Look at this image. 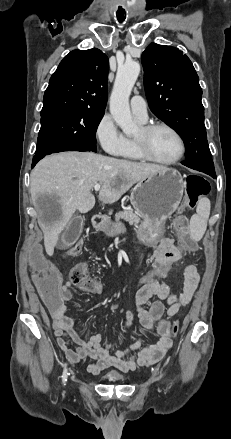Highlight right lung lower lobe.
Segmentation results:
<instances>
[{
    "label": "right lung lower lobe",
    "mask_w": 231,
    "mask_h": 439,
    "mask_svg": "<svg viewBox=\"0 0 231 439\" xmlns=\"http://www.w3.org/2000/svg\"><path fill=\"white\" fill-rule=\"evenodd\" d=\"M46 155H35L32 162V168L37 164L39 160L44 158Z\"/></svg>",
    "instance_id": "obj_1"
}]
</instances>
